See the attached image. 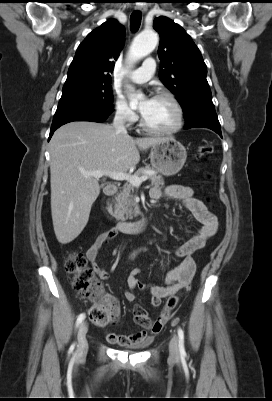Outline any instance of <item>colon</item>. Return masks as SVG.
<instances>
[{"mask_svg": "<svg viewBox=\"0 0 272 401\" xmlns=\"http://www.w3.org/2000/svg\"><path fill=\"white\" fill-rule=\"evenodd\" d=\"M213 151L214 148L210 144L200 145L198 148V157L208 158L212 155ZM65 268L68 273L74 276L73 287L79 297L94 302V305L88 310L90 320L95 325L101 327L113 322L112 308L102 296L95 279L94 271L87 266L86 258L79 252H73L67 258ZM177 303L178 297H169L163 313L155 320H152L142 307H138L135 310V319L139 324L146 327H150L153 324L161 325L168 320Z\"/></svg>", "mask_w": 272, "mask_h": 401, "instance_id": "5ec220e1", "label": "colon"}]
</instances>
